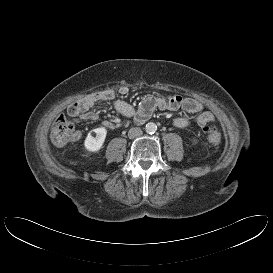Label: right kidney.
I'll list each match as a JSON object with an SVG mask.
<instances>
[{
  "instance_id": "obj_1",
  "label": "right kidney",
  "mask_w": 273,
  "mask_h": 273,
  "mask_svg": "<svg viewBox=\"0 0 273 273\" xmlns=\"http://www.w3.org/2000/svg\"><path fill=\"white\" fill-rule=\"evenodd\" d=\"M93 132L96 135L92 136L91 133H89L84 141V146L88 151L97 152L104 144L107 135V129L105 127H98L94 129Z\"/></svg>"
}]
</instances>
